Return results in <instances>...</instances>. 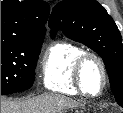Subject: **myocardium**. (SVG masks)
Instances as JSON below:
<instances>
[{
	"label": "myocardium",
	"instance_id": "obj_1",
	"mask_svg": "<svg viewBox=\"0 0 123 113\" xmlns=\"http://www.w3.org/2000/svg\"><path fill=\"white\" fill-rule=\"evenodd\" d=\"M89 60H93L97 63L102 75V84L96 93L88 92L84 81V67ZM73 76H74L75 84L81 90V92L92 97H97L102 95L108 84V75H107L106 66L102 58L98 54L92 51H83L77 57L73 67Z\"/></svg>",
	"mask_w": 123,
	"mask_h": 113
}]
</instances>
